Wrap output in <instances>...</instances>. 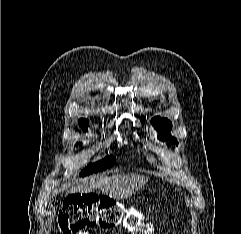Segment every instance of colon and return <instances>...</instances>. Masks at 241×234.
<instances>
[{"label":"colon","mask_w":241,"mask_h":234,"mask_svg":"<svg viewBox=\"0 0 241 234\" xmlns=\"http://www.w3.org/2000/svg\"><path fill=\"white\" fill-rule=\"evenodd\" d=\"M58 225L64 234H78L87 227L113 229L123 225L133 234H150L152 228L137 210L127 209L108 197L72 194L64 199L58 213Z\"/></svg>","instance_id":"colon-1"}]
</instances>
